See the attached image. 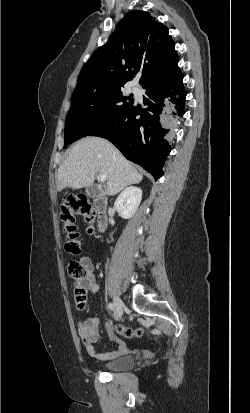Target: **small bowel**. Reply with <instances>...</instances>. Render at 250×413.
Here are the masks:
<instances>
[{
    "label": "small bowel",
    "instance_id": "c3829d8e",
    "mask_svg": "<svg viewBox=\"0 0 250 413\" xmlns=\"http://www.w3.org/2000/svg\"><path fill=\"white\" fill-rule=\"evenodd\" d=\"M79 262L84 266L87 272V276L81 281V283L92 294L97 293L99 290V285L96 282L94 265L90 255L81 256ZM81 309L87 311L86 305ZM106 328L112 339L118 343V347L114 351L98 354L95 350V344L100 339V319L98 314L90 315L85 320L79 322L77 332L86 348L87 353L90 356L101 360H109L124 355L128 350L126 345L114 336L111 323H107Z\"/></svg>",
    "mask_w": 250,
    "mask_h": 413
}]
</instances>
